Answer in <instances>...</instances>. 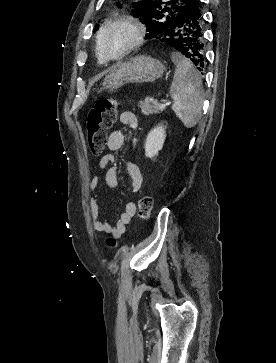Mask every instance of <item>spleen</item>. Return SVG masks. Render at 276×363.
Returning <instances> with one entry per match:
<instances>
[{"label":"spleen","instance_id":"3e777b00","mask_svg":"<svg viewBox=\"0 0 276 363\" xmlns=\"http://www.w3.org/2000/svg\"><path fill=\"white\" fill-rule=\"evenodd\" d=\"M176 65L170 87L172 110L186 128L194 127L202 116L204 101L202 80L192 63L178 52L171 55Z\"/></svg>","mask_w":276,"mask_h":363}]
</instances>
